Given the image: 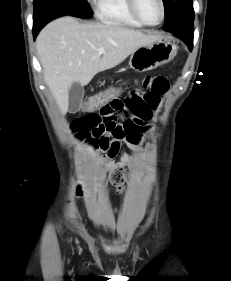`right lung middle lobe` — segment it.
Instances as JSON below:
<instances>
[{"label":"right lung middle lobe","instance_id":"obj_1","mask_svg":"<svg viewBox=\"0 0 231 281\" xmlns=\"http://www.w3.org/2000/svg\"><path fill=\"white\" fill-rule=\"evenodd\" d=\"M50 2H58L74 9L77 17L90 18L92 16V10L86 0H34V15Z\"/></svg>","mask_w":231,"mask_h":281}]
</instances>
